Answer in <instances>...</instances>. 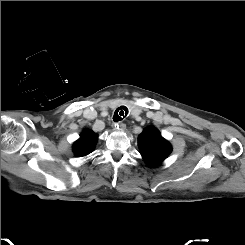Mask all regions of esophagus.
Returning a JSON list of instances; mask_svg holds the SVG:
<instances>
[{"mask_svg": "<svg viewBox=\"0 0 245 245\" xmlns=\"http://www.w3.org/2000/svg\"><path fill=\"white\" fill-rule=\"evenodd\" d=\"M115 127L119 128L120 130H125L126 124H124L122 122H117V123H115Z\"/></svg>", "mask_w": 245, "mask_h": 245, "instance_id": "34e87169", "label": "esophagus"}]
</instances>
